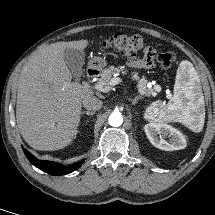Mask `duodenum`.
<instances>
[{
  "label": "duodenum",
  "mask_w": 215,
  "mask_h": 215,
  "mask_svg": "<svg viewBox=\"0 0 215 215\" xmlns=\"http://www.w3.org/2000/svg\"><path fill=\"white\" fill-rule=\"evenodd\" d=\"M99 74V71L95 67H89L86 71V76L89 79L96 77Z\"/></svg>",
  "instance_id": "1"
}]
</instances>
